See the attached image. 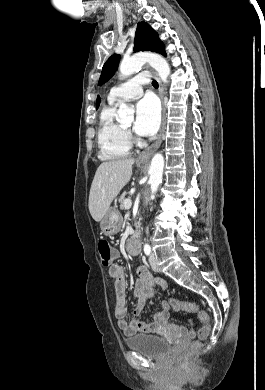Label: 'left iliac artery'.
I'll list each match as a JSON object with an SVG mask.
<instances>
[{"label":"left iliac artery","instance_id":"44dca946","mask_svg":"<svg viewBox=\"0 0 265 390\" xmlns=\"http://www.w3.org/2000/svg\"><path fill=\"white\" fill-rule=\"evenodd\" d=\"M144 252H145L146 255H150L151 248H150V246L148 244H146L144 246Z\"/></svg>","mask_w":265,"mask_h":390}]
</instances>
